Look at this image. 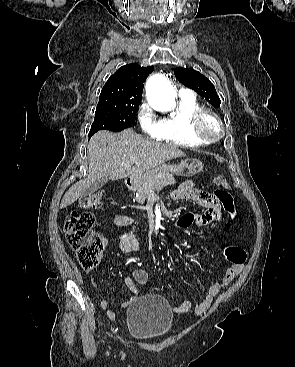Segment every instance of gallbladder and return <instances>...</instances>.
I'll return each mask as SVG.
<instances>
[{
	"label": "gallbladder",
	"instance_id": "obj_1",
	"mask_svg": "<svg viewBox=\"0 0 295 367\" xmlns=\"http://www.w3.org/2000/svg\"><path fill=\"white\" fill-rule=\"evenodd\" d=\"M107 183V179L100 178L95 181L85 192L86 195H91L92 193L98 191L101 187H103Z\"/></svg>",
	"mask_w": 295,
	"mask_h": 367
}]
</instances>
